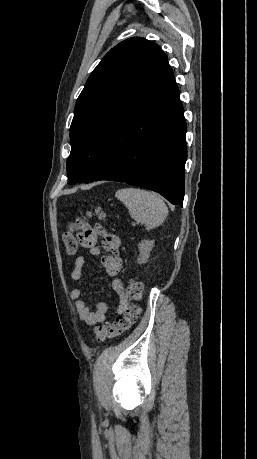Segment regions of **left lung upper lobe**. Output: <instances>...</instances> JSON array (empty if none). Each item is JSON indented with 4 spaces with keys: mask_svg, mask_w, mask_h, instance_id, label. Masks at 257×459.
I'll use <instances>...</instances> for the list:
<instances>
[{
    "mask_svg": "<svg viewBox=\"0 0 257 459\" xmlns=\"http://www.w3.org/2000/svg\"><path fill=\"white\" fill-rule=\"evenodd\" d=\"M166 60L157 44L140 37L122 41L104 56L76 102L68 183L92 182L99 175L117 125Z\"/></svg>",
    "mask_w": 257,
    "mask_h": 459,
    "instance_id": "left-lung-upper-lobe-1",
    "label": "left lung upper lobe"
}]
</instances>
